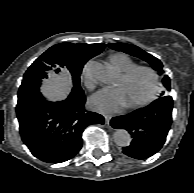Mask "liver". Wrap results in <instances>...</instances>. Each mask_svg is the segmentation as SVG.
Instances as JSON below:
<instances>
[{"label":"liver","instance_id":"1","mask_svg":"<svg viewBox=\"0 0 194 193\" xmlns=\"http://www.w3.org/2000/svg\"><path fill=\"white\" fill-rule=\"evenodd\" d=\"M70 87L71 80L66 74L63 77L53 76L51 80L45 82L43 93L51 99H63L66 97V93Z\"/></svg>","mask_w":194,"mask_h":193}]
</instances>
